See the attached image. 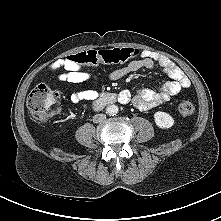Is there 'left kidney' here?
Wrapping results in <instances>:
<instances>
[{"mask_svg": "<svg viewBox=\"0 0 221 221\" xmlns=\"http://www.w3.org/2000/svg\"><path fill=\"white\" fill-rule=\"evenodd\" d=\"M156 125L161 129H169L174 125V119L166 112L158 111L154 114Z\"/></svg>", "mask_w": 221, "mask_h": 221, "instance_id": "obj_1", "label": "left kidney"}]
</instances>
